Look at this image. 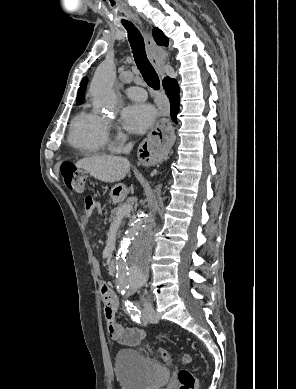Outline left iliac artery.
<instances>
[{
  "label": "left iliac artery",
  "mask_w": 296,
  "mask_h": 389,
  "mask_svg": "<svg viewBox=\"0 0 296 389\" xmlns=\"http://www.w3.org/2000/svg\"><path fill=\"white\" fill-rule=\"evenodd\" d=\"M126 307H127V311L130 314L131 318L135 322L141 323L142 312L139 309V307L136 304H133L132 302H129L128 300H127V303H126Z\"/></svg>",
  "instance_id": "obj_1"
}]
</instances>
